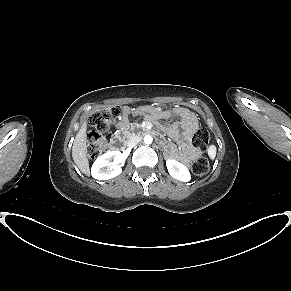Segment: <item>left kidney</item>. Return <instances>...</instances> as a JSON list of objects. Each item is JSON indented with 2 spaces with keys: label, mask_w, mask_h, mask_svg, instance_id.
<instances>
[{
  "label": "left kidney",
  "mask_w": 291,
  "mask_h": 291,
  "mask_svg": "<svg viewBox=\"0 0 291 291\" xmlns=\"http://www.w3.org/2000/svg\"><path fill=\"white\" fill-rule=\"evenodd\" d=\"M166 166L168 169L169 174L182 182H188L191 179L190 173L188 168L183 165L182 163L176 161V160H167Z\"/></svg>",
  "instance_id": "5707ae66"
}]
</instances>
